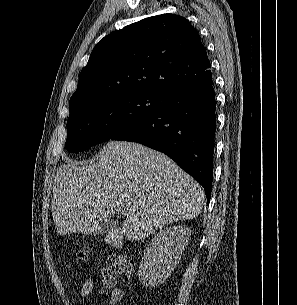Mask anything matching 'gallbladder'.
Returning a JSON list of instances; mask_svg holds the SVG:
<instances>
[{
  "label": "gallbladder",
  "mask_w": 297,
  "mask_h": 305,
  "mask_svg": "<svg viewBox=\"0 0 297 305\" xmlns=\"http://www.w3.org/2000/svg\"><path fill=\"white\" fill-rule=\"evenodd\" d=\"M117 229V223L115 221L106 220L99 224L98 228L92 232L94 236L103 235L105 233H110Z\"/></svg>",
  "instance_id": "bac80fb5"
}]
</instances>
